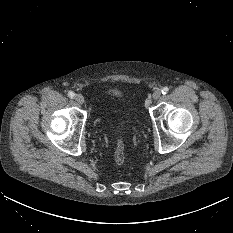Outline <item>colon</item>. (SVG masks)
<instances>
[{"instance_id":"obj_1","label":"colon","mask_w":233,"mask_h":233,"mask_svg":"<svg viewBox=\"0 0 233 233\" xmlns=\"http://www.w3.org/2000/svg\"><path fill=\"white\" fill-rule=\"evenodd\" d=\"M125 159V146L124 143L121 140H119L114 153V160L117 164L121 165L125 162Z\"/></svg>"}]
</instances>
